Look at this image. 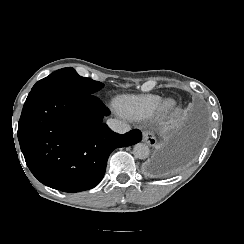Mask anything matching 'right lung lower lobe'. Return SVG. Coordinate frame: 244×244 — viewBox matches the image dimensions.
Returning a JSON list of instances; mask_svg holds the SVG:
<instances>
[{
	"instance_id": "1",
	"label": "right lung lower lobe",
	"mask_w": 244,
	"mask_h": 244,
	"mask_svg": "<svg viewBox=\"0 0 244 244\" xmlns=\"http://www.w3.org/2000/svg\"><path fill=\"white\" fill-rule=\"evenodd\" d=\"M108 115L94 95L63 89L31 91L18 123V140L32 174L64 192L95 187L110 153L142 139L139 130L123 135L111 131L102 122Z\"/></svg>"
}]
</instances>
